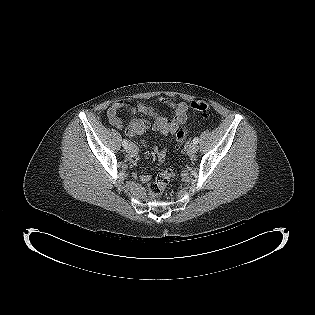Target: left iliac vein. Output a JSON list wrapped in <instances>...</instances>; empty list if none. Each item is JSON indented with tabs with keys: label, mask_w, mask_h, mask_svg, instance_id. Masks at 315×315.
Instances as JSON below:
<instances>
[{
	"label": "left iliac vein",
	"mask_w": 315,
	"mask_h": 315,
	"mask_svg": "<svg viewBox=\"0 0 315 315\" xmlns=\"http://www.w3.org/2000/svg\"><path fill=\"white\" fill-rule=\"evenodd\" d=\"M188 151L192 154L196 153L198 151V145L195 143H191L188 147Z\"/></svg>",
	"instance_id": "4c4485c4"
}]
</instances>
